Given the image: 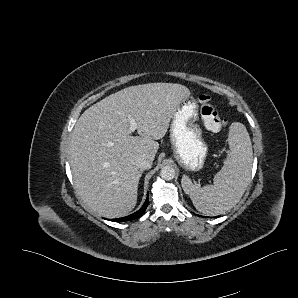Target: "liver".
I'll use <instances>...</instances> for the list:
<instances>
[{
	"mask_svg": "<svg viewBox=\"0 0 298 298\" xmlns=\"http://www.w3.org/2000/svg\"><path fill=\"white\" fill-rule=\"evenodd\" d=\"M191 95L179 83L129 86L86 109L71 136L74 186L83 202L107 218L127 215L137 203L140 157L154 161L172 115ZM128 116L139 136H131Z\"/></svg>",
	"mask_w": 298,
	"mask_h": 298,
	"instance_id": "1",
	"label": "liver"
}]
</instances>
